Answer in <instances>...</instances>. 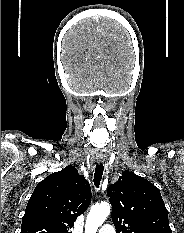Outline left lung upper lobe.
Wrapping results in <instances>:
<instances>
[{
  "instance_id": "left-lung-upper-lobe-1",
  "label": "left lung upper lobe",
  "mask_w": 184,
  "mask_h": 233,
  "mask_svg": "<svg viewBox=\"0 0 184 233\" xmlns=\"http://www.w3.org/2000/svg\"><path fill=\"white\" fill-rule=\"evenodd\" d=\"M117 233H172L159 189L129 170L107 190Z\"/></svg>"
}]
</instances>
